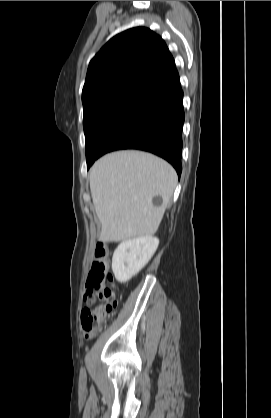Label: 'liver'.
Returning a JSON list of instances; mask_svg holds the SVG:
<instances>
[{
  "label": "liver",
  "instance_id": "1",
  "mask_svg": "<svg viewBox=\"0 0 271 418\" xmlns=\"http://www.w3.org/2000/svg\"><path fill=\"white\" fill-rule=\"evenodd\" d=\"M177 174L152 154L127 150L107 154L90 170L92 201L101 222V242H120L152 236L170 202ZM162 204L154 206V196Z\"/></svg>",
  "mask_w": 271,
  "mask_h": 418
}]
</instances>
